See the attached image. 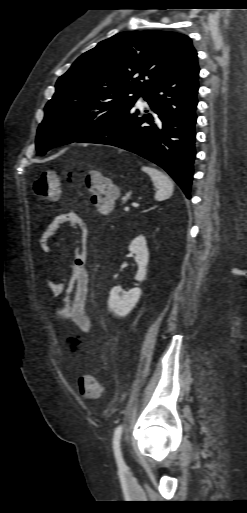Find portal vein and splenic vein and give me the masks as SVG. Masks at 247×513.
Wrapping results in <instances>:
<instances>
[{
  "instance_id": "portal-vein-and-splenic-vein-1",
  "label": "portal vein and splenic vein",
  "mask_w": 247,
  "mask_h": 513,
  "mask_svg": "<svg viewBox=\"0 0 247 513\" xmlns=\"http://www.w3.org/2000/svg\"><path fill=\"white\" fill-rule=\"evenodd\" d=\"M129 210H130V208H129L128 206H126V207L124 208V211H125V212H129Z\"/></svg>"
}]
</instances>
